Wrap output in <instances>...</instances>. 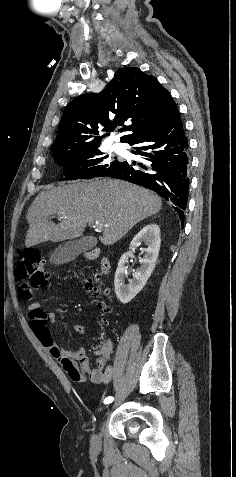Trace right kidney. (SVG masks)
Listing matches in <instances>:
<instances>
[{"label": "right kidney", "instance_id": "right-kidney-1", "mask_svg": "<svg viewBox=\"0 0 236 477\" xmlns=\"http://www.w3.org/2000/svg\"><path fill=\"white\" fill-rule=\"evenodd\" d=\"M142 242L147 245L145 254L140 260V268L133 273V278L128 284L124 283L127 274L126 263L129 256ZM160 228L157 224L145 226L131 241L130 251L121 256L115 273L114 286L118 299L123 303H129L146 285L151 276L160 250Z\"/></svg>", "mask_w": 236, "mask_h": 477}]
</instances>
